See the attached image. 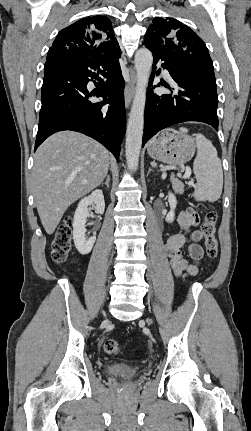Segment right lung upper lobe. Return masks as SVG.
<instances>
[{"instance_id":"cb5924a9","label":"right lung upper lobe","mask_w":251,"mask_h":431,"mask_svg":"<svg viewBox=\"0 0 251 431\" xmlns=\"http://www.w3.org/2000/svg\"><path fill=\"white\" fill-rule=\"evenodd\" d=\"M96 61L106 66L121 56L111 21L106 16L83 18L59 32L47 54V61L59 53Z\"/></svg>"}]
</instances>
